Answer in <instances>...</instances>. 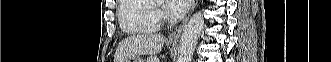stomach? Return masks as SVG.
<instances>
[{
  "label": "stomach",
  "instance_id": "0dacf381",
  "mask_svg": "<svg viewBox=\"0 0 331 62\" xmlns=\"http://www.w3.org/2000/svg\"><path fill=\"white\" fill-rule=\"evenodd\" d=\"M171 45L174 43H170ZM126 62H145L142 58H140L139 56H132L131 58H129Z\"/></svg>",
  "mask_w": 331,
  "mask_h": 62
}]
</instances>
